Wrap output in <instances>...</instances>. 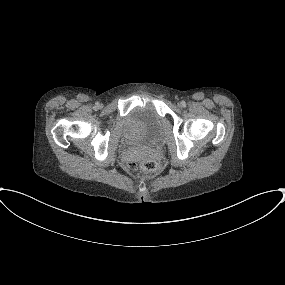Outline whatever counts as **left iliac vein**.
I'll use <instances>...</instances> for the list:
<instances>
[{"instance_id": "4c4485c4", "label": "left iliac vein", "mask_w": 285, "mask_h": 285, "mask_svg": "<svg viewBox=\"0 0 285 285\" xmlns=\"http://www.w3.org/2000/svg\"><path fill=\"white\" fill-rule=\"evenodd\" d=\"M178 107H182L181 103H178Z\"/></svg>"}]
</instances>
